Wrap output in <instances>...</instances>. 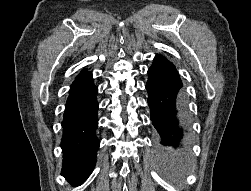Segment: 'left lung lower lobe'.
Returning <instances> with one entry per match:
<instances>
[{"label": "left lung lower lobe", "instance_id": "left-lung-lower-lobe-1", "mask_svg": "<svg viewBox=\"0 0 251 191\" xmlns=\"http://www.w3.org/2000/svg\"><path fill=\"white\" fill-rule=\"evenodd\" d=\"M148 77L146 90L151 121L157 132V150L167 157L186 154L188 118L180 76L171 62L157 55Z\"/></svg>", "mask_w": 251, "mask_h": 191}]
</instances>
